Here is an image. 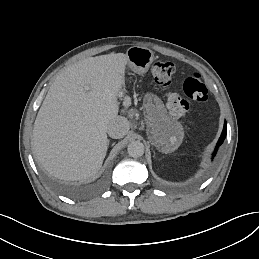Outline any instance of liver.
<instances>
[{"instance_id":"obj_1","label":"liver","mask_w":259,"mask_h":259,"mask_svg":"<svg viewBox=\"0 0 259 259\" xmlns=\"http://www.w3.org/2000/svg\"><path fill=\"white\" fill-rule=\"evenodd\" d=\"M126 64L125 54L111 53L80 60L56 76L32 137L33 154L50 174L75 181L100 170L107 152V127L119 111L117 95Z\"/></svg>"}]
</instances>
